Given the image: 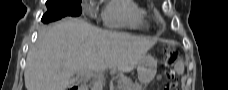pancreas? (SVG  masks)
Instances as JSON below:
<instances>
[{"mask_svg":"<svg viewBox=\"0 0 228 90\" xmlns=\"http://www.w3.org/2000/svg\"><path fill=\"white\" fill-rule=\"evenodd\" d=\"M118 90H142L138 83H133L129 78H123L118 85Z\"/></svg>","mask_w":228,"mask_h":90,"instance_id":"obj_1","label":"pancreas"}]
</instances>
